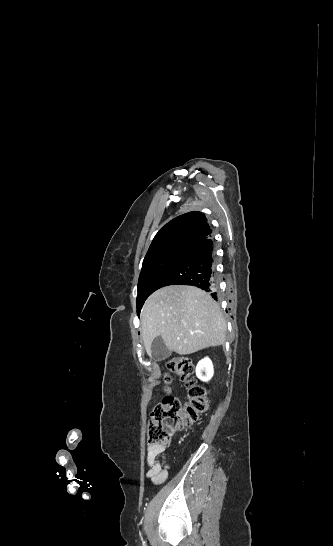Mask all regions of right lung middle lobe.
I'll return each mask as SVG.
<instances>
[{"label": "right lung middle lobe", "instance_id": "1", "mask_svg": "<svg viewBox=\"0 0 333 546\" xmlns=\"http://www.w3.org/2000/svg\"><path fill=\"white\" fill-rule=\"evenodd\" d=\"M189 250L190 248L182 247L169 248L144 259L138 282V313L147 297L156 290V284L160 277Z\"/></svg>", "mask_w": 333, "mask_h": 546}]
</instances>
